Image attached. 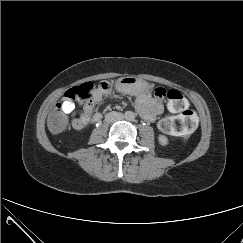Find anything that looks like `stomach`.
<instances>
[{"mask_svg":"<svg viewBox=\"0 0 243 243\" xmlns=\"http://www.w3.org/2000/svg\"><path fill=\"white\" fill-rule=\"evenodd\" d=\"M116 84L120 91L131 95H136L147 89L146 84L142 80L131 76L118 79Z\"/></svg>","mask_w":243,"mask_h":243,"instance_id":"1","label":"stomach"}]
</instances>
